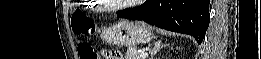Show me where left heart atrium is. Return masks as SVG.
Masks as SVG:
<instances>
[{"label":"left heart atrium","instance_id":"1","mask_svg":"<svg viewBox=\"0 0 261 59\" xmlns=\"http://www.w3.org/2000/svg\"><path fill=\"white\" fill-rule=\"evenodd\" d=\"M128 2H131V3H140L141 0H131V1H128Z\"/></svg>","mask_w":261,"mask_h":59}]
</instances>
